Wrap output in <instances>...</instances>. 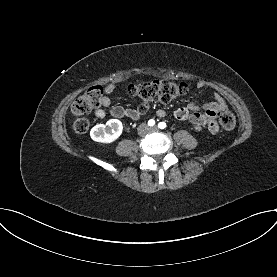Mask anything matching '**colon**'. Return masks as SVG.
<instances>
[{
	"label": "colon",
	"instance_id": "1",
	"mask_svg": "<svg viewBox=\"0 0 277 277\" xmlns=\"http://www.w3.org/2000/svg\"><path fill=\"white\" fill-rule=\"evenodd\" d=\"M129 91L133 96L147 102L158 101L168 103L184 95L188 91V85L184 82L176 83L168 80H152L131 85ZM102 98V87L94 86L87 89L73 102L71 114L75 116L72 123L74 132L83 134L88 131L90 122L84 115L98 107L101 104ZM220 123L224 129L232 130L236 125L235 116L232 112L225 110L220 115Z\"/></svg>",
	"mask_w": 277,
	"mask_h": 277
}]
</instances>
